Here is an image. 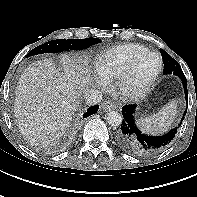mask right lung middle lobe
<instances>
[{
  "mask_svg": "<svg viewBox=\"0 0 197 197\" xmlns=\"http://www.w3.org/2000/svg\"><path fill=\"white\" fill-rule=\"evenodd\" d=\"M100 42L98 38L86 39H57L48 41L42 45L32 49L27 56H33L42 53H57L65 50H82L89 46L95 45Z\"/></svg>",
  "mask_w": 197,
  "mask_h": 197,
  "instance_id": "obj_1",
  "label": "right lung middle lobe"
}]
</instances>
